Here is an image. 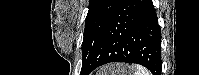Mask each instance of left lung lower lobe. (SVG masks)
<instances>
[{
    "label": "left lung lower lobe",
    "instance_id": "1",
    "mask_svg": "<svg viewBox=\"0 0 199 75\" xmlns=\"http://www.w3.org/2000/svg\"><path fill=\"white\" fill-rule=\"evenodd\" d=\"M110 62L137 63L161 75V29L151 0H122L81 75Z\"/></svg>",
    "mask_w": 199,
    "mask_h": 75
}]
</instances>
